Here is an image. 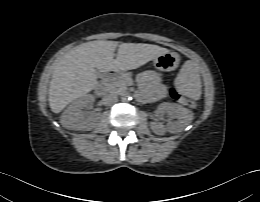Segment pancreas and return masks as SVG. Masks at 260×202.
<instances>
[{"label": "pancreas", "mask_w": 260, "mask_h": 202, "mask_svg": "<svg viewBox=\"0 0 260 202\" xmlns=\"http://www.w3.org/2000/svg\"><path fill=\"white\" fill-rule=\"evenodd\" d=\"M130 79L131 76L129 74H125L114 80L113 82L105 83L106 90L112 93H120L126 90V87L128 85L127 81Z\"/></svg>", "instance_id": "obj_1"}]
</instances>
